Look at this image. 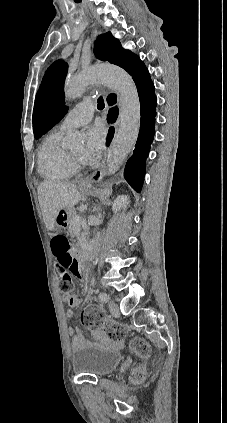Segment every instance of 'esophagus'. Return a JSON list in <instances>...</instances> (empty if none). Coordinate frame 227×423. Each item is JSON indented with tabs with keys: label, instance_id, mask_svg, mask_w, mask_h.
Instances as JSON below:
<instances>
[{
	"label": "esophagus",
	"instance_id": "obj_1",
	"mask_svg": "<svg viewBox=\"0 0 227 423\" xmlns=\"http://www.w3.org/2000/svg\"><path fill=\"white\" fill-rule=\"evenodd\" d=\"M101 34V31L93 26L91 35L93 39H96ZM108 135L106 137V140L103 142V147L105 148L104 158L102 160L101 166L96 170L95 173H93L91 176L86 178V182H100L104 176V164L108 156V152L110 150V147L112 146V143L114 141V136L117 134V126L114 123H111L108 126Z\"/></svg>",
	"mask_w": 227,
	"mask_h": 423
}]
</instances>
